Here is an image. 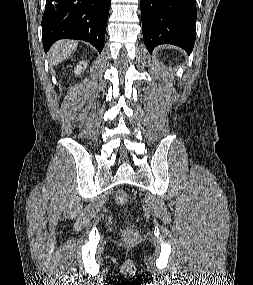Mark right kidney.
Listing matches in <instances>:
<instances>
[{
    "mask_svg": "<svg viewBox=\"0 0 253 285\" xmlns=\"http://www.w3.org/2000/svg\"><path fill=\"white\" fill-rule=\"evenodd\" d=\"M87 67V62L86 61H81L79 62L78 65L74 68V73L75 75H80L81 72Z\"/></svg>",
    "mask_w": 253,
    "mask_h": 285,
    "instance_id": "obj_1",
    "label": "right kidney"
}]
</instances>
